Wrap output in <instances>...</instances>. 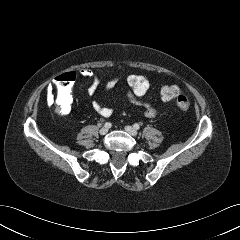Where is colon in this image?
<instances>
[{
	"instance_id": "5ec220e1",
	"label": "colon",
	"mask_w": 240,
	"mask_h": 240,
	"mask_svg": "<svg viewBox=\"0 0 240 240\" xmlns=\"http://www.w3.org/2000/svg\"><path fill=\"white\" fill-rule=\"evenodd\" d=\"M75 80L74 73H64L56 78L55 96L53 103L59 113L65 114L71 109V88ZM127 88L132 94L139 98H146L151 91V82L147 76L133 72L125 80ZM159 98L163 102L176 101L177 107L186 111L191 107V100L183 94L180 86L176 84H166L159 89Z\"/></svg>"
}]
</instances>
